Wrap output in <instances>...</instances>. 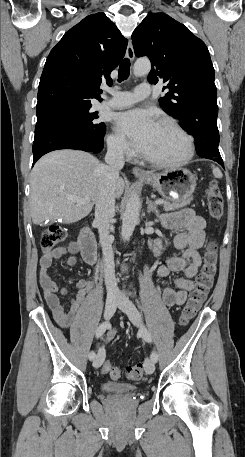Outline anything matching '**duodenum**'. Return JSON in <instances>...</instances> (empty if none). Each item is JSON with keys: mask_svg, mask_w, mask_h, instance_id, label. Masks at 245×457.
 Masks as SVG:
<instances>
[{"mask_svg": "<svg viewBox=\"0 0 245 457\" xmlns=\"http://www.w3.org/2000/svg\"><path fill=\"white\" fill-rule=\"evenodd\" d=\"M78 244L83 259L90 264L98 260L97 244L95 236L89 226H85L80 233Z\"/></svg>", "mask_w": 245, "mask_h": 457, "instance_id": "duodenum-1", "label": "duodenum"}]
</instances>
